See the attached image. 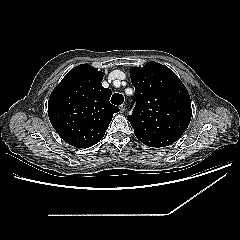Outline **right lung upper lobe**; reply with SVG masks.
<instances>
[{"instance_id": "1", "label": "right lung upper lobe", "mask_w": 240, "mask_h": 240, "mask_svg": "<svg viewBox=\"0 0 240 240\" xmlns=\"http://www.w3.org/2000/svg\"><path fill=\"white\" fill-rule=\"evenodd\" d=\"M104 73L82 64L70 70L48 101L50 122L60 137L77 148L95 145L104 136L113 113L111 90L102 87Z\"/></svg>"}]
</instances>
